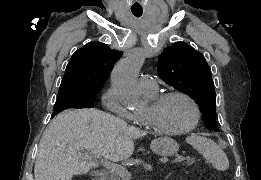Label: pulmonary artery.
<instances>
[{
	"label": "pulmonary artery",
	"mask_w": 261,
	"mask_h": 180,
	"mask_svg": "<svg viewBox=\"0 0 261 180\" xmlns=\"http://www.w3.org/2000/svg\"><path fill=\"white\" fill-rule=\"evenodd\" d=\"M139 85L145 93L155 92L158 86L156 79L150 74H142L139 78Z\"/></svg>",
	"instance_id": "obj_1"
}]
</instances>
